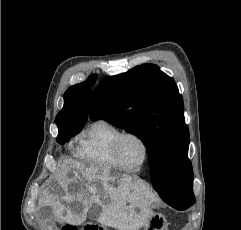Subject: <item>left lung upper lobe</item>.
<instances>
[{"label": "left lung upper lobe", "instance_id": "left-lung-upper-lobe-1", "mask_svg": "<svg viewBox=\"0 0 241 230\" xmlns=\"http://www.w3.org/2000/svg\"><path fill=\"white\" fill-rule=\"evenodd\" d=\"M183 112L174 79L156 65L143 64L101 80L93 91L90 118L104 119L141 139L149 166L163 165L159 196L166 203L193 204L189 130Z\"/></svg>", "mask_w": 241, "mask_h": 230}]
</instances>
